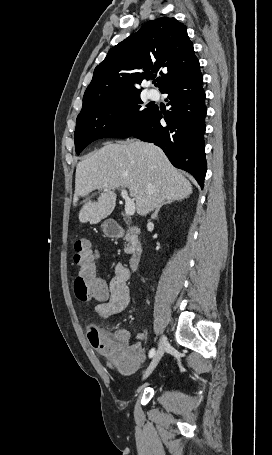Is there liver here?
Here are the masks:
<instances>
[{
    "label": "liver",
    "mask_w": 272,
    "mask_h": 455,
    "mask_svg": "<svg viewBox=\"0 0 272 455\" xmlns=\"http://www.w3.org/2000/svg\"><path fill=\"white\" fill-rule=\"evenodd\" d=\"M127 188L136 211L146 216L166 200H182L192 193L190 182L175 169L157 146L128 140L107 143L82 159L76 168L73 205L79 197L101 191L98 200H85L81 223H98L115 208V189Z\"/></svg>",
    "instance_id": "6515ba94"
}]
</instances>
